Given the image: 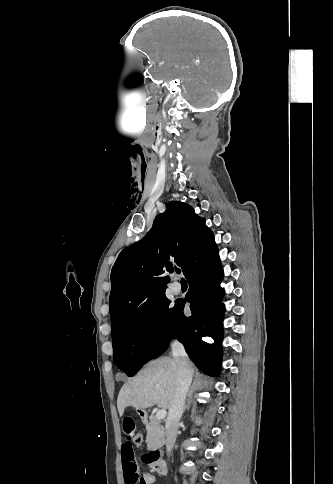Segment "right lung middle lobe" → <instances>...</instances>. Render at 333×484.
<instances>
[{"label":"right lung middle lobe","mask_w":333,"mask_h":484,"mask_svg":"<svg viewBox=\"0 0 333 484\" xmlns=\"http://www.w3.org/2000/svg\"><path fill=\"white\" fill-rule=\"evenodd\" d=\"M179 305L170 307L166 296H161L135 310L112 333L113 358L116 365L133 376L145 363L154 358L170 328ZM165 326L155 331L157 324ZM168 328V329H167Z\"/></svg>","instance_id":"right-lung-middle-lobe-1"}]
</instances>
